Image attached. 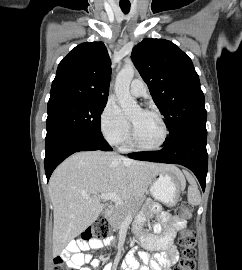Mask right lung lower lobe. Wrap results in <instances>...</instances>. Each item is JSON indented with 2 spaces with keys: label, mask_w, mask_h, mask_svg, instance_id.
<instances>
[{
  "label": "right lung lower lobe",
  "mask_w": 242,
  "mask_h": 270,
  "mask_svg": "<svg viewBox=\"0 0 242 270\" xmlns=\"http://www.w3.org/2000/svg\"><path fill=\"white\" fill-rule=\"evenodd\" d=\"M112 151L103 137H94L81 133H63L46 141L45 173L47 181L53 170L68 156L79 151Z\"/></svg>",
  "instance_id": "1"
}]
</instances>
